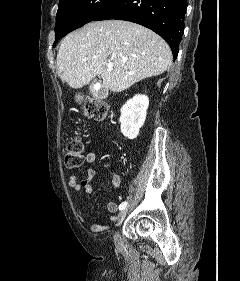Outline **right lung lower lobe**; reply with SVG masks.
I'll return each mask as SVG.
<instances>
[{
    "label": "right lung lower lobe",
    "mask_w": 240,
    "mask_h": 281,
    "mask_svg": "<svg viewBox=\"0 0 240 281\" xmlns=\"http://www.w3.org/2000/svg\"><path fill=\"white\" fill-rule=\"evenodd\" d=\"M186 8V0H116L94 21L118 19L143 25L169 44L176 59Z\"/></svg>",
    "instance_id": "obj_1"
}]
</instances>
